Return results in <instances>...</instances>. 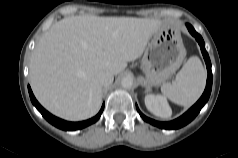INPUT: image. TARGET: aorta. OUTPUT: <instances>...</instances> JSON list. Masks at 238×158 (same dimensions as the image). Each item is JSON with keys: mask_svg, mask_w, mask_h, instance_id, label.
Instances as JSON below:
<instances>
[{"mask_svg": "<svg viewBox=\"0 0 238 158\" xmlns=\"http://www.w3.org/2000/svg\"><path fill=\"white\" fill-rule=\"evenodd\" d=\"M121 86L126 89H130L133 86V79L130 76L123 77L121 80Z\"/></svg>", "mask_w": 238, "mask_h": 158, "instance_id": "obj_1", "label": "aorta"}]
</instances>
